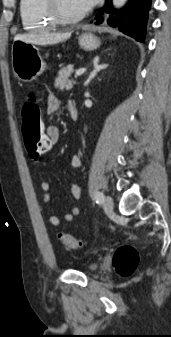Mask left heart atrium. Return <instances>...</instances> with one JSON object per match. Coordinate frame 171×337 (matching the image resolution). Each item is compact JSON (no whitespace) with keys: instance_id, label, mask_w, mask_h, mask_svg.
Here are the masks:
<instances>
[{"instance_id":"39dd6f15","label":"left heart atrium","mask_w":171,"mask_h":337,"mask_svg":"<svg viewBox=\"0 0 171 337\" xmlns=\"http://www.w3.org/2000/svg\"><path fill=\"white\" fill-rule=\"evenodd\" d=\"M83 10H87L95 6L99 0H76Z\"/></svg>"}]
</instances>
